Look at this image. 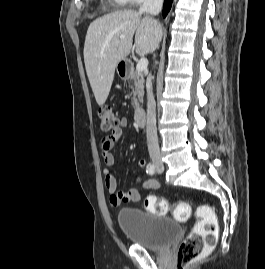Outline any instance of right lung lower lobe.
I'll use <instances>...</instances> for the list:
<instances>
[{
	"label": "right lung lower lobe",
	"mask_w": 265,
	"mask_h": 269,
	"mask_svg": "<svg viewBox=\"0 0 265 269\" xmlns=\"http://www.w3.org/2000/svg\"><path fill=\"white\" fill-rule=\"evenodd\" d=\"M172 1L173 0H165L164 7H163V16L164 17L167 15L168 11L170 10Z\"/></svg>",
	"instance_id": "obj_1"
}]
</instances>
